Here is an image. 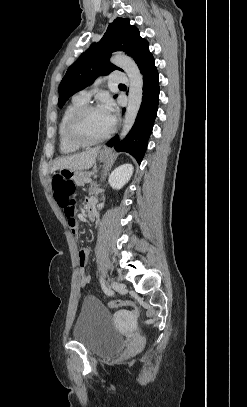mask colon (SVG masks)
Masks as SVG:
<instances>
[{
    "instance_id": "1",
    "label": "colon",
    "mask_w": 247,
    "mask_h": 407,
    "mask_svg": "<svg viewBox=\"0 0 247 407\" xmlns=\"http://www.w3.org/2000/svg\"><path fill=\"white\" fill-rule=\"evenodd\" d=\"M52 189L58 205L64 206L72 198L75 192V185L62 176H54L52 178ZM108 305L110 307H128L131 309L136 307L135 302L130 300L111 301Z\"/></svg>"
}]
</instances>
